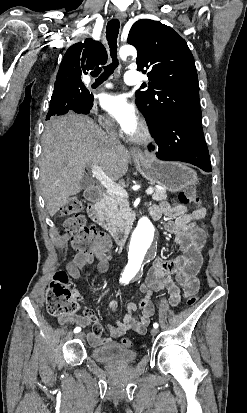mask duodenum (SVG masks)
I'll return each instance as SVG.
<instances>
[{"instance_id":"410a0bca","label":"duodenum","mask_w":247,"mask_h":413,"mask_svg":"<svg viewBox=\"0 0 247 413\" xmlns=\"http://www.w3.org/2000/svg\"><path fill=\"white\" fill-rule=\"evenodd\" d=\"M85 196L90 203L88 211L89 217L95 223L102 224V212L104 206L103 199L105 196L104 190L99 186H93L87 189ZM128 231L129 226L122 229H110V234L113 237L116 245H123L125 243Z\"/></svg>"}]
</instances>
